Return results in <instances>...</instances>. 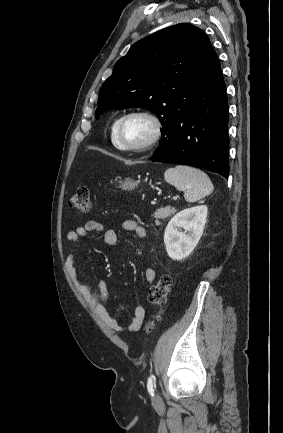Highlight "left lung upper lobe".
I'll list each match as a JSON object with an SVG mask.
<instances>
[{"mask_svg":"<svg viewBox=\"0 0 283 433\" xmlns=\"http://www.w3.org/2000/svg\"><path fill=\"white\" fill-rule=\"evenodd\" d=\"M212 51L206 34L188 23L139 40L102 85L96 119L107 110L142 107L163 127L174 122L193 106L194 81Z\"/></svg>","mask_w":283,"mask_h":433,"instance_id":"obj_1","label":"left lung upper lobe"}]
</instances>
